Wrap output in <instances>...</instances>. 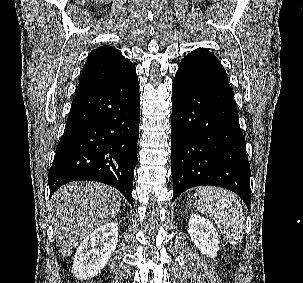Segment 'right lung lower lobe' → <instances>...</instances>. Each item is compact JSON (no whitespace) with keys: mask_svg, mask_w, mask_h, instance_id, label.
<instances>
[{"mask_svg":"<svg viewBox=\"0 0 303 283\" xmlns=\"http://www.w3.org/2000/svg\"><path fill=\"white\" fill-rule=\"evenodd\" d=\"M139 110L136 73L75 97L49 170L50 196L68 182L91 180L117 188L133 206Z\"/></svg>","mask_w":303,"mask_h":283,"instance_id":"right-lung-lower-lobe-1","label":"right lung lower lobe"}]
</instances>
